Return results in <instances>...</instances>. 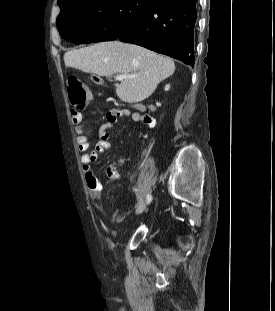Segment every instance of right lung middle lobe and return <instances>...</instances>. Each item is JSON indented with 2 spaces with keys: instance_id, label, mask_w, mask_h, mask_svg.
Returning <instances> with one entry per match:
<instances>
[{
  "instance_id": "obj_1",
  "label": "right lung middle lobe",
  "mask_w": 275,
  "mask_h": 311,
  "mask_svg": "<svg viewBox=\"0 0 275 311\" xmlns=\"http://www.w3.org/2000/svg\"><path fill=\"white\" fill-rule=\"evenodd\" d=\"M159 0H71L60 5L56 24L73 43L116 39L122 30Z\"/></svg>"
}]
</instances>
